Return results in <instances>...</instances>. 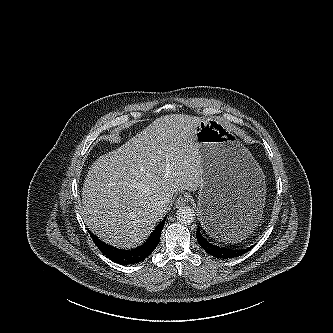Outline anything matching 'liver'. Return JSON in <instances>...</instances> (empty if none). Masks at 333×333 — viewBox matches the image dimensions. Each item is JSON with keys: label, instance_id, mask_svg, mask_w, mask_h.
<instances>
[{"label": "liver", "instance_id": "obj_1", "mask_svg": "<svg viewBox=\"0 0 333 333\" xmlns=\"http://www.w3.org/2000/svg\"><path fill=\"white\" fill-rule=\"evenodd\" d=\"M201 118L184 114L155 119L118 149L100 156L83 184L81 215L105 242L140 245L182 190L196 191L203 170L196 142Z\"/></svg>", "mask_w": 333, "mask_h": 333}]
</instances>
